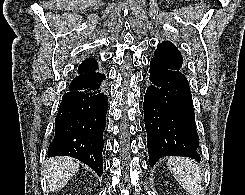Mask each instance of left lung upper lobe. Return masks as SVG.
Listing matches in <instances>:
<instances>
[{
    "instance_id": "5c2ea615",
    "label": "left lung upper lobe",
    "mask_w": 245,
    "mask_h": 195,
    "mask_svg": "<svg viewBox=\"0 0 245 195\" xmlns=\"http://www.w3.org/2000/svg\"><path fill=\"white\" fill-rule=\"evenodd\" d=\"M154 57L171 63L176 69L182 70L183 58L180 51L170 41L163 42L157 47Z\"/></svg>"
}]
</instances>
